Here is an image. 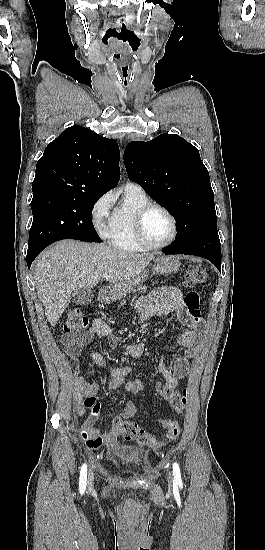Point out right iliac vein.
Wrapping results in <instances>:
<instances>
[{"instance_id": "right-iliac-vein-1", "label": "right iliac vein", "mask_w": 265, "mask_h": 550, "mask_svg": "<svg viewBox=\"0 0 265 550\" xmlns=\"http://www.w3.org/2000/svg\"><path fill=\"white\" fill-rule=\"evenodd\" d=\"M89 486H92L93 484V474L90 472L88 477Z\"/></svg>"}]
</instances>
